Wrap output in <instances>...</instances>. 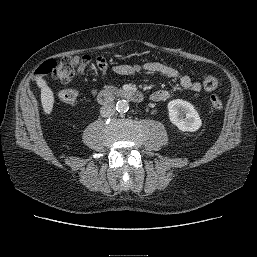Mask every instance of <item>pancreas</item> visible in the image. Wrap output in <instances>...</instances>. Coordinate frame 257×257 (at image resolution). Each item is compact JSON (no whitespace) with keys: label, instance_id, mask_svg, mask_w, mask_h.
Returning <instances> with one entry per match:
<instances>
[{"label":"pancreas","instance_id":"1","mask_svg":"<svg viewBox=\"0 0 257 257\" xmlns=\"http://www.w3.org/2000/svg\"><path fill=\"white\" fill-rule=\"evenodd\" d=\"M106 90H107L108 92H113V91L116 90V87H114V86H106Z\"/></svg>","mask_w":257,"mask_h":257}]
</instances>
